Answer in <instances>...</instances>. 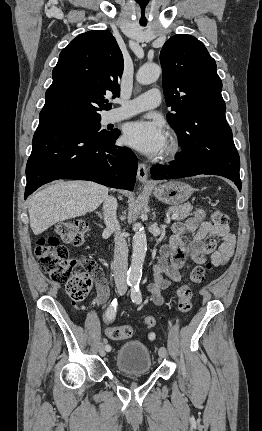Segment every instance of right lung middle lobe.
Returning <instances> with one entry per match:
<instances>
[{
    "label": "right lung middle lobe",
    "mask_w": 262,
    "mask_h": 431,
    "mask_svg": "<svg viewBox=\"0 0 262 431\" xmlns=\"http://www.w3.org/2000/svg\"><path fill=\"white\" fill-rule=\"evenodd\" d=\"M100 120H101V116L95 117V118H87V119H74L64 123L76 125L78 127L86 129L88 132L97 133L99 135H106L111 133L106 130L99 131L101 127Z\"/></svg>",
    "instance_id": "right-lung-middle-lobe-1"
}]
</instances>
